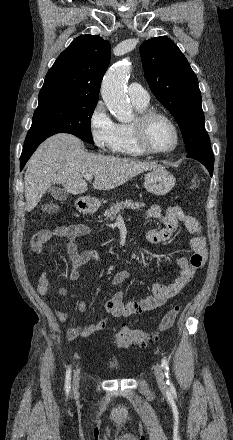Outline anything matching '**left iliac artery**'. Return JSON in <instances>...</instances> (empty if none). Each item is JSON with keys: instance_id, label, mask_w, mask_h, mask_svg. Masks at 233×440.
<instances>
[{"instance_id": "left-iliac-artery-1", "label": "left iliac artery", "mask_w": 233, "mask_h": 440, "mask_svg": "<svg viewBox=\"0 0 233 440\" xmlns=\"http://www.w3.org/2000/svg\"><path fill=\"white\" fill-rule=\"evenodd\" d=\"M161 364H162V367H163V369H164V371H165V375H166V377H167V381H166V383H167V385H170V388L171 389H173V385L170 383V380H169V375H170V373H169V364H168V361L166 360V359H162V361H161Z\"/></svg>"}]
</instances>
